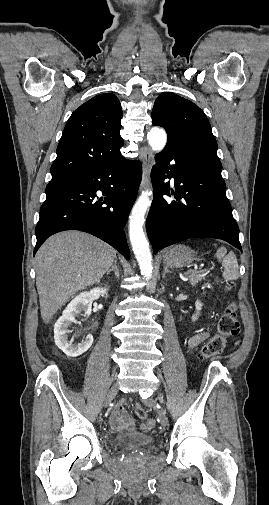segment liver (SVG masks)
Here are the masks:
<instances>
[{
	"instance_id": "6515ba94",
	"label": "liver",
	"mask_w": 269,
	"mask_h": 505,
	"mask_svg": "<svg viewBox=\"0 0 269 505\" xmlns=\"http://www.w3.org/2000/svg\"><path fill=\"white\" fill-rule=\"evenodd\" d=\"M115 259V249L87 233L65 231L48 238L35 257L44 323L78 291L98 283Z\"/></svg>"
}]
</instances>
